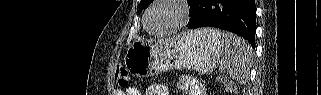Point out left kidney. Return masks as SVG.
Instances as JSON below:
<instances>
[{
	"instance_id": "1",
	"label": "left kidney",
	"mask_w": 321,
	"mask_h": 95,
	"mask_svg": "<svg viewBox=\"0 0 321 95\" xmlns=\"http://www.w3.org/2000/svg\"><path fill=\"white\" fill-rule=\"evenodd\" d=\"M228 89H229L230 91H233V88H231V87H229Z\"/></svg>"
}]
</instances>
